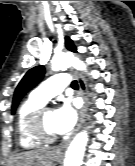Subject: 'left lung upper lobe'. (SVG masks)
<instances>
[{
	"label": "left lung upper lobe",
	"mask_w": 135,
	"mask_h": 166,
	"mask_svg": "<svg viewBox=\"0 0 135 166\" xmlns=\"http://www.w3.org/2000/svg\"><path fill=\"white\" fill-rule=\"evenodd\" d=\"M66 48L72 52H77L72 40L68 37L65 38ZM45 69L43 66H36L30 69L19 82L15 89L13 102H12V114H14L21 98L34 86H36L44 77Z\"/></svg>",
	"instance_id": "left-lung-upper-lobe-1"
}]
</instances>
